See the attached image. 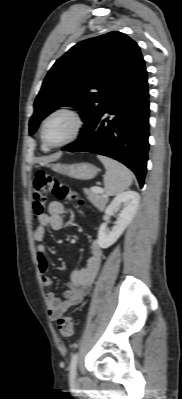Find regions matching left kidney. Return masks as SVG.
I'll return each mask as SVG.
<instances>
[{
    "label": "left kidney",
    "instance_id": "left-kidney-1",
    "mask_svg": "<svg viewBox=\"0 0 182 399\" xmlns=\"http://www.w3.org/2000/svg\"><path fill=\"white\" fill-rule=\"evenodd\" d=\"M140 196L135 191H126L117 195L109 206L105 209V215L111 216L117 210H120L119 217L111 230L107 228V224H101L98 231V245L106 249L113 245L122 235L127 226L131 223L138 205Z\"/></svg>",
    "mask_w": 182,
    "mask_h": 399
}]
</instances>
